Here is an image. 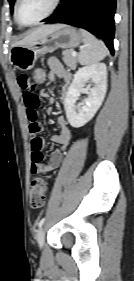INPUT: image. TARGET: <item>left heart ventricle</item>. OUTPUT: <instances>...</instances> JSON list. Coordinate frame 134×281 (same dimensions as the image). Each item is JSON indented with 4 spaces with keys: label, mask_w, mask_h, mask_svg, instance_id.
<instances>
[{
    "label": "left heart ventricle",
    "mask_w": 134,
    "mask_h": 281,
    "mask_svg": "<svg viewBox=\"0 0 134 281\" xmlns=\"http://www.w3.org/2000/svg\"><path fill=\"white\" fill-rule=\"evenodd\" d=\"M54 0H21L18 8L23 23H32L43 17L52 7Z\"/></svg>",
    "instance_id": "b2bd125f"
}]
</instances>
